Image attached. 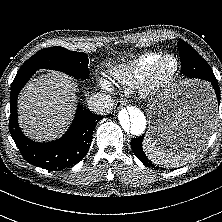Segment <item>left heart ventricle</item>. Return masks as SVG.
<instances>
[{
  "mask_svg": "<svg viewBox=\"0 0 222 222\" xmlns=\"http://www.w3.org/2000/svg\"><path fill=\"white\" fill-rule=\"evenodd\" d=\"M172 68H173V61L167 60L161 66L160 71H161L162 74H167L172 70Z\"/></svg>",
  "mask_w": 222,
  "mask_h": 222,
  "instance_id": "1",
  "label": "left heart ventricle"
}]
</instances>
